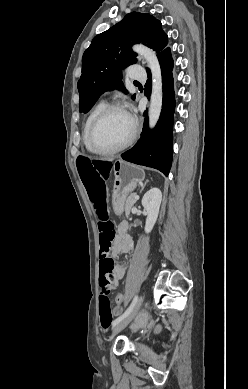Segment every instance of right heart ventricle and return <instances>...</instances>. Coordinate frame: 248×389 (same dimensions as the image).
Instances as JSON below:
<instances>
[{"label": "right heart ventricle", "mask_w": 248, "mask_h": 389, "mask_svg": "<svg viewBox=\"0 0 248 389\" xmlns=\"http://www.w3.org/2000/svg\"><path fill=\"white\" fill-rule=\"evenodd\" d=\"M106 105V103L104 101H99L98 103H96L93 108L90 110L89 114L87 115L86 117V120L84 122V126H83V133H82V137H83V143L85 145V147L89 150V151H92L90 146H89V142H88V133H89V128H90V125L93 121V119L95 118V116L98 114V112ZM93 152V151H92Z\"/></svg>", "instance_id": "obj_1"}]
</instances>
